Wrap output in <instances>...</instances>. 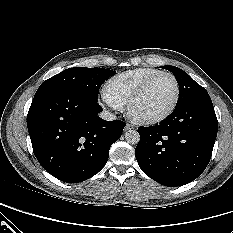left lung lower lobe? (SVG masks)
Listing matches in <instances>:
<instances>
[{
  "label": "left lung lower lobe",
  "mask_w": 233,
  "mask_h": 233,
  "mask_svg": "<svg viewBox=\"0 0 233 233\" xmlns=\"http://www.w3.org/2000/svg\"><path fill=\"white\" fill-rule=\"evenodd\" d=\"M218 121L208 92L176 104L160 124L138 129L135 155L150 178L168 186H182L196 179L207 167Z\"/></svg>",
  "instance_id": "left-lung-lower-lobe-1"
}]
</instances>
